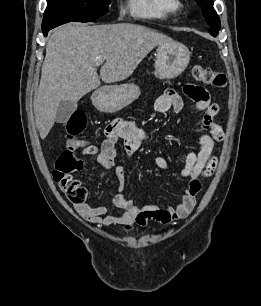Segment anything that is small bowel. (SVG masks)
Instances as JSON below:
<instances>
[{
  "label": "small bowel",
  "mask_w": 261,
  "mask_h": 306,
  "mask_svg": "<svg viewBox=\"0 0 261 306\" xmlns=\"http://www.w3.org/2000/svg\"><path fill=\"white\" fill-rule=\"evenodd\" d=\"M184 93L191 98L198 111L203 112L202 124L199 128V149L190 150L185 157V164L181 175L189 180L181 201L174 207H160L157 205L138 206L131 199L121 193L113 198V207L121 210L119 213H110L111 208L106 205L92 206L85 200L75 204L77 212L87 221L103 225H123L127 229L134 224L145 226L150 221L169 224L173 221L186 218L194 209L196 196L201 189L200 177L210 176L216 167V159L212 156L215 141H222L224 133L216 121L218 106L212 103L208 92L200 86L186 85ZM184 103L179 93L167 90L155 102V109L160 113L173 111L179 113ZM106 138L99 149L87 146L86 141L80 140L79 147H85L86 154H95L98 163L107 170L114 169L117 176L118 188L125 182L126 169L115 164L116 144L119 140L124 143L128 157H131L148 138V133L137 127L133 122L125 120L112 121L105 128ZM157 166L162 170L168 169V163L162 156L155 159ZM85 199L87 194L84 193Z\"/></svg>",
  "instance_id": "small-bowel-1"
}]
</instances>
